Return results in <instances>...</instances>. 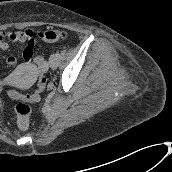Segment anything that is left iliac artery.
<instances>
[{
  "instance_id": "left-iliac-artery-1",
  "label": "left iliac artery",
  "mask_w": 172,
  "mask_h": 172,
  "mask_svg": "<svg viewBox=\"0 0 172 172\" xmlns=\"http://www.w3.org/2000/svg\"><path fill=\"white\" fill-rule=\"evenodd\" d=\"M55 55H56L57 57H59V52H56Z\"/></svg>"
}]
</instances>
